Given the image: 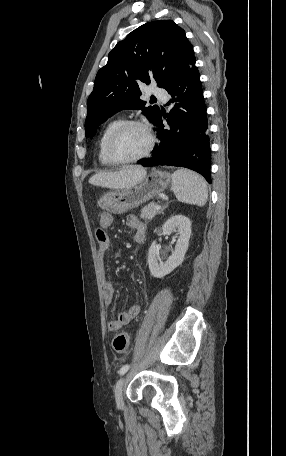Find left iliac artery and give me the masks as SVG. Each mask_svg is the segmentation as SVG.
Returning <instances> with one entry per match:
<instances>
[{
    "label": "left iliac artery",
    "instance_id": "44dca946",
    "mask_svg": "<svg viewBox=\"0 0 286 456\" xmlns=\"http://www.w3.org/2000/svg\"><path fill=\"white\" fill-rule=\"evenodd\" d=\"M130 368V365L126 364L124 366H122L119 370V374L120 375H124Z\"/></svg>",
    "mask_w": 286,
    "mask_h": 456
}]
</instances>
